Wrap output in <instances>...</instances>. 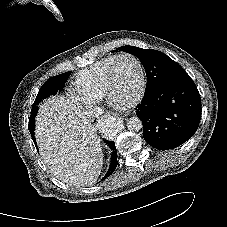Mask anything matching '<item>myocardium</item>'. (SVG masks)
Segmentation results:
<instances>
[{
	"instance_id": "myocardium-1",
	"label": "myocardium",
	"mask_w": 227,
	"mask_h": 227,
	"mask_svg": "<svg viewBox=\"0 0 227 227\" xmlns=\"http://www.w3.org/2000/svg\"><path fill=\"white\" fill-rule=\"evenodd\" d=\"M124 58H131L132 60H134L136 62V64L139 67V70H140L141 81H140V88H139V91L136 94V96L127 103H120L115 100L114 95H113L114 72H115V67H116L117 63ZM146 88H147V74H146L145 67H144L143 63L141 62V60L137 56H135L134 54H131V53H123V54L116 56L115 60L109 67L107 76H106L105 98L108 101V103L111 104L112 106H119V107H123V108L133 107L142 100V98L145 95Z\"/></svg>"
}]
</instances>
